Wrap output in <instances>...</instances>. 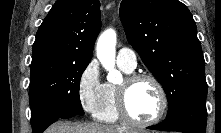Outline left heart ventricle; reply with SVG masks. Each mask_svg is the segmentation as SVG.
Wrapping results in <instances>:
<instances>
[{
    "instance_id": "obj_1",
    "label": "left heart ventricle",
    "mask_w": 221,
    "mask_h": 133,
    "mask_svg": "<svg viewBox=\"0 0 221 133\" xmlns=\"http://www.w3.org/2000/svg\"><path fill=\"white\" fill-rule=\"evenodd\" d=\"M128 108L131 115L140 121L155 117L160 108V96L155 85L148 80L134 84L128 93Z\"/></svg>"
}]
</instances>
